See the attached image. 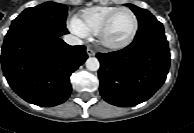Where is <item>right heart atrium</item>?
<instances>
[{"instance_id":"d8ad5b80","label":"right heart atrium","mask_w":194,"mask_h":133,"mask_svg":"<svg viewBox=\"0 0 194 133\" xmlns=\"http://www.w3.org/2000/svg\"><path fill=\"white\" fill-rule=\"evenodd\" d=\"M69 27L73 33L79 36H85L87 34L86 27L81 23V21L77 18H73L70 23Z\"/></svg>"}]
</instances>
